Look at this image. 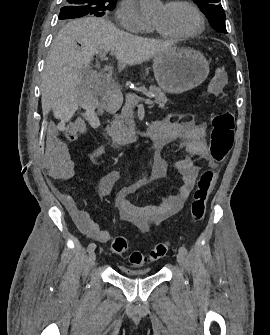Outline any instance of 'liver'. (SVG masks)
<instances>
[{"label": "liver", "mask_w": 270, "mask_h": 335, "mask_svg": "<svg viewBox=\"0 0 270 335\" xmlns=\"http://www.w3.org/2000/svg\"><path fill=\"white\" fill-rule=\"evenodd\" d=\"M172 46L174 44L170 42L148 40L118 30L106 18L90 16L70 20L59 30L46 58L40 86L44 116L60 98L75 94L98 52H113L118 60V70H124L126 66L142 64L161 52L172 50Z\"/></svg>", "instance_id": "1"}]
</instances>
